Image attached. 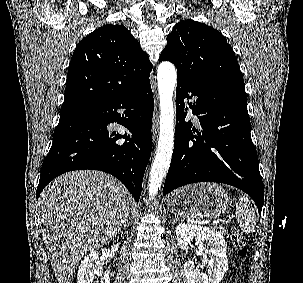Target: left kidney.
<instances>
[{
	"instance_id": "left-kidney-1",
	"label": "left kidney",
	"mask_w": 303,
	"mask_h": 283,
	"mask_svg": "<svg viewBox=\"0 0 303 283\" xmlns=\"http://www.w3.org/2000/svg\"><path fill=\"white\" fill-rule=\"evenodd\" d=\"M177 241L181 249L187 250L193 239L198 249L204 253L203 264L207 273L195 268L192 261L184 264L185 276L188 283H220L228 270L226 241L220 232L200 225L181 223L176 227Z\"/></svg>"
}]
</instances>
